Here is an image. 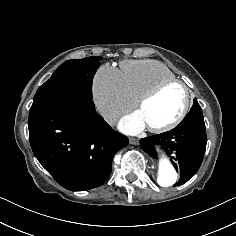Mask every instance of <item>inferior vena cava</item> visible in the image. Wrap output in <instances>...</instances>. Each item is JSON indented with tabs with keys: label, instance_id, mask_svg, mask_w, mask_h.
<instances>
[{
	"label": "inferior vena cava",
	"instance_id": "inferior-vena-cava-1",
	"mask_svg": "<svg viewBox=\"0 0 236 236\" xmlns=\"http://www.w3.org/2000/svg\"><path fill=\"white\" fill-rule=\"evenodd\" d=\"M97 112L110 124L115 121L117 115L114 109L110 107H99Z\"/></svg>",
	"mask_w": 236,
	"mask_h": 236
}]
</instances>
